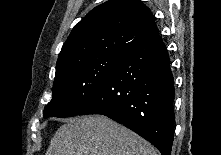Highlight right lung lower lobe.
Instances as JSON below:
<instances>
[{"label": "right lung lower lobe", "instance_id": "98d812e1", "mask_svg": "<svg viewBox=\"0 0 221 155\" xmlns=\"http://www.w3.org/2000/svg\"><path fill=\"white\" fill-rule=\"evenodd\" d=\"M174 79L159 34L130 49L78 115L102 114L171 155Z\"/></svg>", "mask_w": 221, "mask_h": 155}]
</instances>
